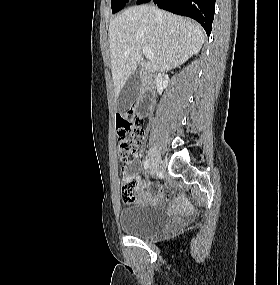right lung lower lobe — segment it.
Segmentation results:
<instances>
[{
  "label": "right lung lower lobe",
  "mask_w": 280,
  "mask_h": 285,
  "mask_svg": "<svg viewBox=\"0 0 280 285\" xmlns=\"http://www.w3.org/2000/svg\"><path fill=\"white\" fill-rule=\"evenodd\" d=\"M151 0H138L137 4ZM159 8L191 17L198 21L210 35L215 11V0H154Z\"/></svg>",
  "instance_id": "98d812e1"
}]
</instances>
